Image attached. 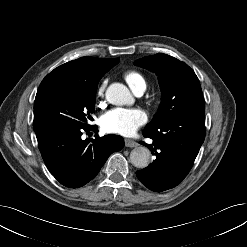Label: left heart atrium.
<instances>
[{"label":"left heart atrium","mask_w":247,"mask_h":247,"mask_svg":"<svg viewBox=\"0 0 247 247\" xmlns=\"http://www.w3.org/2000/svg\"><path fill=\"white\" fill-rule=\"evenodd\" d=\"M146 120L147 116L141 109L116 108L102 116L100 125L106 132L129 136Z\"/></svg>","instance_id":"obj_1"}]
</instances>
